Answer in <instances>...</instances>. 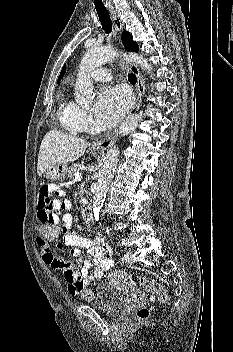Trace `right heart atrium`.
<instances>
[{
    "label": "right heart atrium",
    "instance_id": "d8ad5b80",
    "mask_svg": "<svg viewBox=\"0 0 233 352\" xmlns=\"http://www.w3.org/2000/svg\"><path fill=\"white\" fill-rule=\"evenodd\" d=\"M79 122L82 131L90 129L93 126V117L91 112L79 107Z\"/></svg>",
    "mask_w": 233,
    "mask_h": 352
}]
</instances>
